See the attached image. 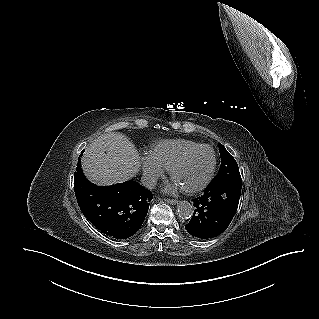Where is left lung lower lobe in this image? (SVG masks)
Instances as JSON below:
<instances>
[{
  "label": "left lung lower lobe",
  "mask_w": 319,
  "mask_h": 319,
  "mask_svg": "<svg viewBox=\"0 0 319 319\" xmlns=\"http://www.w3.org/2000/svg\"><path fill=\"white\" fill-rule=\"evenodd\" d=\"M241 178H230L208 186L193 200L195 212L185 226L193 237L209 239L218 236L231 223L241 195Z\"/></svg>",
  "instance_id": "1"
}]
</instances>
